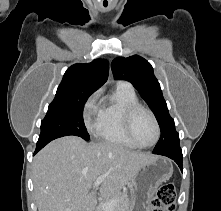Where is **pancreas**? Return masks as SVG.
<instances>
[{"label":"pancreas","mask_w":221,"mask_h":211,"mask_svg":"<svg viewBox=\"0 0 221 211\" xmlns=\"http://www.w3.org/2000/svg\"><path fill=\"white\" fill-rule=\"evenodd\" d=\"M114 199H116L114 211H129L130 200L126 192L116 191L114 194L107 196L102 204L105 202H110ZM102 204L96 209V211H104Z\"/></svg>","instance_id":"cf45deb5"}]
</instances>
